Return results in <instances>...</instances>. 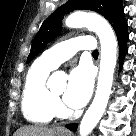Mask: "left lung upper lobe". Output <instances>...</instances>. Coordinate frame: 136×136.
<instances>
[{
	"label": "left lung upper lobe",
	"instance_id": "1",
	"mask_svg": "<svg viewBox=\"0 0 136 136\" xmlns=\"http://www.w3.org/2000/svg\"><path fill=\"white\" fill-rule=\"evenodd\" d=\"M76 9L92 10L103 15L111 23L114 30L124 20V11L120 0H68L41 25L32 43L27 62H30L59 34L64 15Z\"/></svg>",
	"mask_w": 136,
	"mask_h": 136
}]
</instances>
